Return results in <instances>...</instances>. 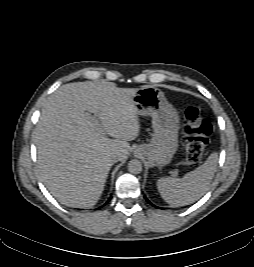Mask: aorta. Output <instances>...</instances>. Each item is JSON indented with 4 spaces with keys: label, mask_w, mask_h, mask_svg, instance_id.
Masks as SVG:
<instances>
[{
    "label": "aorta",
    "mask_w": 254,
    "mask_h": 267,
    "mask_svg": "<svg viewBox=\"0 0 254 267\" xmlns=\"http://www.w3.org/2000/svg\"><path fill=\"white\" fill-rule=\"evenodd\" d=\"M127 167L128 171L132 174H139L142 171V163L137 159L129 161Z\"/></svg>",
    "instance_id": "obj_1"
}]
</instances>
